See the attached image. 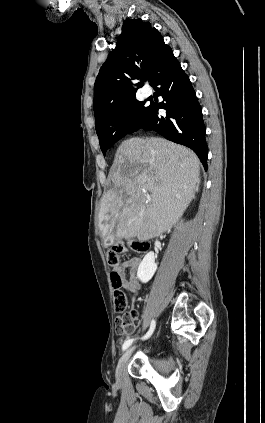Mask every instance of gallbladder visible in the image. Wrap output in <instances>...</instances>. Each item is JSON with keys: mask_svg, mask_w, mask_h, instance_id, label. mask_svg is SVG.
<instances>
[{"mask_svg": "<svg viewBox=\"0 0 265 423\" xmlns=\"http://www.w3.org/2000/svg\"><path fill=\"white\" fill-rule=\"evenodd\" d=\"M113 242V237H109V238H104L103 240V244L105 247H109Z\"/></svg>", "mask_w": 265, "mask_h": 423, "instance_id": "bac80fb5", "label": "gallbladder"}]
</instances>
